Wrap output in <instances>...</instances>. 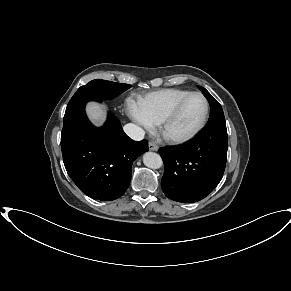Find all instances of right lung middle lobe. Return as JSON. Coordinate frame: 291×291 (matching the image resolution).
<instances>
[{
  "label": "right lung middle lobe",
  "mask_w": 291,
  "mask_h": 291,
  "mask_svg": "<svg viewBox=\"0 0 291 291\" xmlns=\"http://www.w3.org/2000/svg\"><path fill=\"white\" fill-rule=\"evenodd\" d=\"M131 85L124 83H115L106 80H92L84 86H81L69 101L64 120H76L81 118L85 112V105L88 101L102 102V100L113 99Z\"/></svg>",
  "instance_id": "obj_1"
}]
</instances>
